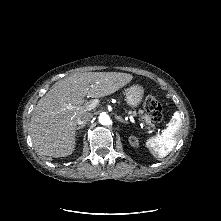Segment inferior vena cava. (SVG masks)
<instances>
[{"label": "inferior vena cava", "instance_id": "obj_1", "mask_svg": "<svg viewBox=\"0 0 221 221\" xmlns=\"http://www.w3.org/2000/svg\"><path fill=\"white\" fill-rule=\"evenodd\" d=\"M92 118H93V114L90 112H86L78 118L77 124L84 125L87 122H89Z\"/></svg>", "mask_w": 221, "mask_h": 221}]
</instances>
